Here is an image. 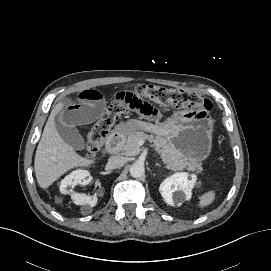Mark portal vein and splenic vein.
Returning a JSON list of instances; mask_svg holds the SVG:
<instances>
[{
	"instance_id": "18ae733b",
	"label": "portal vein and splenic vein",
	"mask_w": 271,
	"mask_h": 271,
	"mask_svg": "<svg viewBox=\"0 0 271 271\" xmlns=\"http://www.w3.org/2000/svg\"><path fill=\"white\" fill-rule=\"evenodd\" d=\"M143 143H144L143 140H140V141H139V145H140V146L143 145Z\"/></svg>"
}]
</instances>
